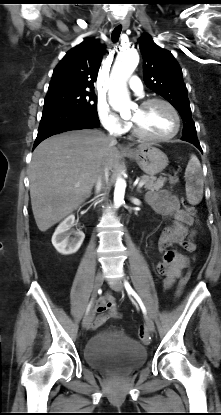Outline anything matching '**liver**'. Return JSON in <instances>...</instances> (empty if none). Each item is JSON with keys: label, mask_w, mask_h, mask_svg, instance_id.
<instances>
[{"label": "liver", "mask_w": 221, "mask_h": 415, "mask_svg": "<svg viewBox=\"0 0 221 415\" xmlns=\"http://www.w3.org/2000/svg\"><path fill=\"white\" fill-rule=\"evenodd\" d=\"M116 143L99 130L83 129L49 137L38 145L29 179L32 211L40 231H47L84 203L105 166L108 170L118 167Z\"/></svg>", "instance_id": "liver-1"}]
</instances>
